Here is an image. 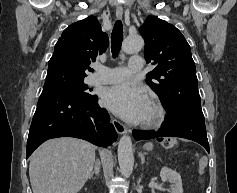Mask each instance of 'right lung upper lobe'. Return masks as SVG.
I'll list each match as a JSON object with an SVG mask.
<instances>
[{
	"mask_svg": "<svg viewBox=\"0 0 237 193\" xmlns=\"http://www.w3.org/2000/svg\"><path fill=\"white\" fill-rule=\"evenodd\" d=\"M108 44V36L102 32L96 17L88 16L63 31L48 62V71L84 78L88 71H92L89 64L107 49Z\"/></svg>",
	"mask_w": 237,
	"mask_h": 193,
	"instance_id": "1",
	"label": "right lung upper lobe"
}]
</instances>
